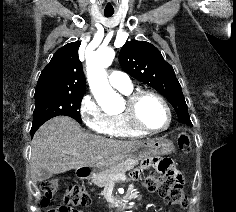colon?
<instances>
[{
  "mask_svg": "<svg viewBox=\"0 0 236 212\" xmlns=\"http://www.w3.org/2000/svg\"><path fill=\"white\" fill-rule=\"evenodd\" d=\"M178 148L183 153H189L192 149L191 139L186 133L179 135ZM168 171L158 175L155 171H149L144 176L146 187L165 198L170 204L187 205L184 195L182 181L178 173L167 164ZM142 174L141 170L132 173L133 178ZM58 182L55 179H47L41 183L43 204L49 203L56 195ZM92 202L90 194L80 184H69L63 195V204L52 208L49 212H79L78 207H83Z\"/></svg>",
  "mask_w": 236,
  "mask_h": 212,
  "instance_id": "5ec220e1",
  "label": "colon"
}]
</instances>
